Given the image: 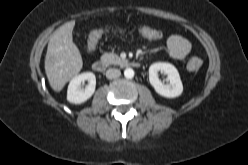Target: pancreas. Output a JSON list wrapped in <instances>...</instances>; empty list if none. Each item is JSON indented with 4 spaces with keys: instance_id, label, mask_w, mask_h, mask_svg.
<instances>
[{
    "instance_id": "cf45deb5",
    "label": "pancreas",
    "mask_w": 248,
    "mask_h": 165,
    "mask_svg": "<svg viewBox=\"0 0 248 165\" xmlns=\"http://www.w3.org/2000/svg\"><path fill=\"white\" fill-rule=\"evenodd\" d=\"M101 60L107 64H114V65H121L125 62V60L121 59L117 54L115 53H104L101 56Z\"/></svg>"
}]
</instances>
